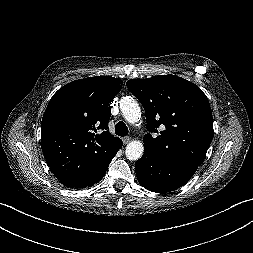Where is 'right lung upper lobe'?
Segmentation results:
<instances>
[{"mask_svg": "<svg viewBox=\"0 0 253 253\" xmlns=\"http://www.w3.org/2000/svg\"><path fill=\"white\" fill-rule=\"evenodd\" d=\"M121 84L111 76L89 77L53 95L42 118L41 147L57 179L83 177L113 157L122 141L109 133L108 121Z\"/></svg>", "mask_w": 253, "mask_h": 253, "instance_id": "obj_1", "label": "right lung upper lobe"}]
</instances>
